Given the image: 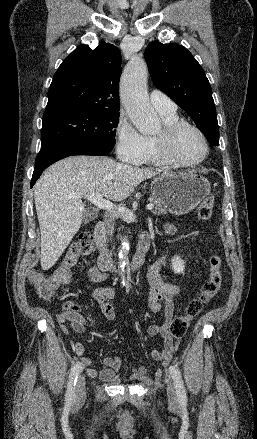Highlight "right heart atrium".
<instances>
[{
  "label": "right heart atrium",
  "mask_w": 257,
  "mask_h": 439,
  "mask_svg": "<svg viewBox=\"0 0 257 439\" xmlns=\"http://www.w3.org/2000/svg\"><path fill=\"white\" fill-rule=\"evenodd\" d=\"M115 146L119 158L128 163H136L145 153V136L140 134L125 115H120L115 131Z\"/></svg>",
  "instance_id": "obj_1"
}]
</instances>
